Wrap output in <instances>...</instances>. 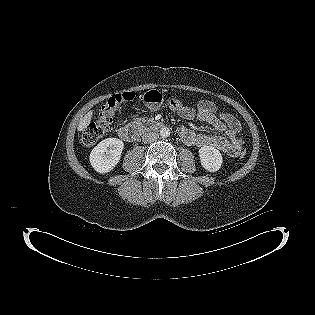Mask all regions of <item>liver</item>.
I'll list each match as a JSON object with an SVG mask.
<instances>
[{"instance_id":"obj_1","label":"liver","mask_w":315,"mask_h":315,"mask_svg":"<svg viewBox=\"0 0 315 315\" xmlns=\"http://www.w3.org/2000/svg\"><path fill=\"white\" fill-rule=\"evenodd\" d=\"M93 112L89 111L83 118L80 119L79 125H78V131H83L91 122Z\"/></svg>"}]
</instances>
